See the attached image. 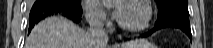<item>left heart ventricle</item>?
<instances>
[{
	"instance_id": "b2bd125f",
	"label": "left heart ventricle",
	"mask_w": 213,
	"mask_h": 48,
	"mask_svg": "<svg viewBox=\"0 0 213 48\" xmlns=\"http://www.w3.org/2000/svg\"><path fill=\"white\" fill-rule=\"evenodd\" d=\"M121 21L129 27L140 26L146 19L145 9L138 4H124Z\"/></svg>"
}]
</instances>
